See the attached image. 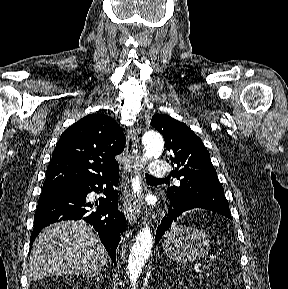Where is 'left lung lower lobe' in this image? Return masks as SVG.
<instances>
[{
  "instance_id": "obj_1",
  "label": "left lung lower lobe",
  "mask_w": 288,
  "mask_h": 289,
  "mask_svg": "<svg viewBox=\"0 0 288 289\" xmlns=\"http://www.w3.org/2000/svg\"><path fill=\"white\" fill-rule=\"evenodd\" d=\"M193 209H206V208H203V207L198 206V205H184V204L179 203L177 201L170 202L169 215L167 218L165 217L161 221V224L157 228L156 236H155V245L160 241L161 237L164 235L166 230H168V228L172 224V222L176 221L178 216H180L182 213H184L186 211H190ZM226 217L229 219H232V217H230V216H226Z\"/></svg>"
}]
</instances>
